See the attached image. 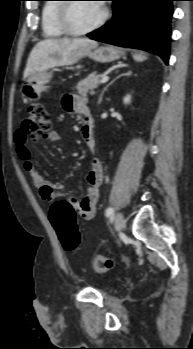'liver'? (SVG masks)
<instances>
[{
    "label": "liver",
    "instance_id": "6515ba94",
    "mask_svg": "<svg viewBox=\"0 0 193 349\" xmlns=\"http://www.w3.org/2000/svg\"><path fill=\"white\" fill-rule=\"evenodd\" d=\"M98 43L85 38H52L38 42L32 49L23 79L37 72H44L57 66H67L77 63L88 55Z\"/></svg>",
    "mask_w": 193,
    "mask_h": 349
}]
</instances>
